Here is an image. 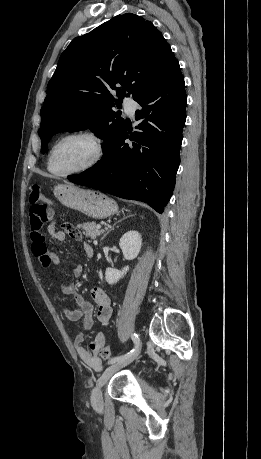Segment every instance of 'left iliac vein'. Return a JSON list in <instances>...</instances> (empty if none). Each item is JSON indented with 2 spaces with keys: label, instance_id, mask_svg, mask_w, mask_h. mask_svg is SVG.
Segmentation results:
<instances>
[{
  "label": "left iliac vein",
  "instance_id": "4c4485c4",
  "mask_svg": "<svg viewBox=\"0 0 261 459\" xmlns=\"http://www.w3.org/2000/svg\"><path fill=\"white\" fill-rule=\"evenodd\" d=\"M141 349H142V344H140V346L137 348V350L133 354L126 356L122 360L109 366L103 372L91 396V403L95 409H100L103 406L102 387L106 384V382L111 378L112 375H114L117 371H119L123 367L133 362L139 356Z\"/></svg>",
  "mask_w": 261,
  "mask_h": 459
}]
</instances>
